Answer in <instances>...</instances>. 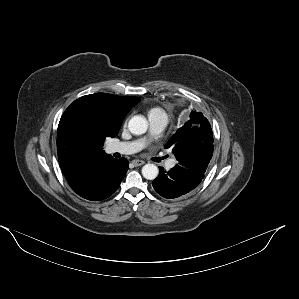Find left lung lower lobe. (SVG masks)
Wrapping results in <instances>:
<instances>
[{
    "instance_id": "1",
    "label": "left lung lower lobe",
    "mask_w": 299,
    "mask_h": 299,
    "mask_svg": "<svg viewBox=\"0 0 299 299\" xmlns=\"http://www.w3.org/2000/svg\"><path fill=\"white\" fill-rule=\"evenodd\" d=\"M204 173L176 165L170 171L164 172L160 167V175L152 182L154 190L164 198L181 197L196 188Z\"/></svg>"
}]
</instances>
